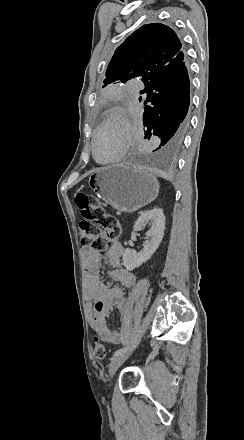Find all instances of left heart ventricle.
<instances>
[{
    "label": "left heart ventricle",
    "instance_id": "obj_1",
    "mask_svg": "<svg viewBox=\"0 0 244 440\" xmlns=\"http://www.w3.org/2000/svg\"><path fill=\"white\" fill-rule=\"evenodd\" d=\"M120 116V115H119ZM118 124L122 123V118L119 117L117 119ZM115 127H104L96 138L95 142V150L96 156L99 160L105 161L111 157H113L116 153L117 149V132L113 133L110 130H116Z\"/></svg>",
    "mask_w": 244,
    "mask_h": 440
}]
</instances>
